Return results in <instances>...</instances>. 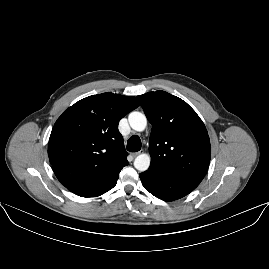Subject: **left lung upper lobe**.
<instances>
[{"mask_svg": "<svg viewBox=\"0 0 269 269\" xmlns=\"http://www.w3.org/2000/svg\"><path fill=\"white\" fill-rule=\"evenodd\" d=\"M152 124L149 170L201 182L211 156L204 123L182 99L165 91L137 96Z\"/></svg>", "mask_w": 269, "mask_h": 269, "instance_id": "1", "label": "left lung upper lobe"}]
</instances>
